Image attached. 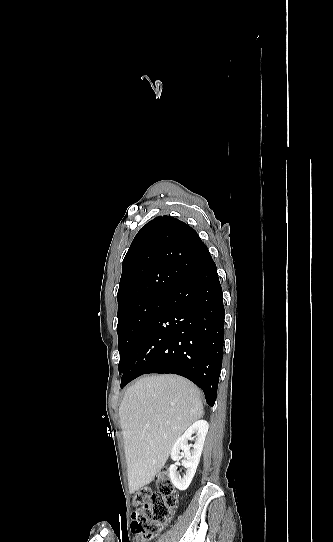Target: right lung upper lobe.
I'll use <instances>...</instances> for the list:
<instances>
[{"mask_svg":"<svg viewBox=\"0 0 333 542\" xmlns=\"http://www.w3.org/2000/svg\"><path fill=\"white\" fill-rule=\"evenodd\" d=\"M205 246L194 229L176 218L158 216L144 225L123 260L118 312L153 294L169 292L185 276L161 261L160 250L177 248L193 253Z\"/></svg>","mask_w":333,"mask_h":542,"instance_id":"1","label":"right lung upper lobe"}]
</instances>
